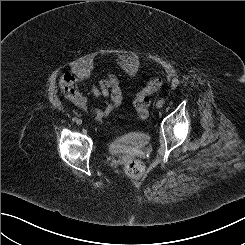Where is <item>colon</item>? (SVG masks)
Segmentation results:
<instances>
[{
	"mask_svg": "<svg viewBox=\"0 0 245 245\" xmlns=\"http://www.w3.org/2000/svg\"><path fill=\"white\" fill-rule=\"evenodd\" d=\"M161 80L159 78H151L146 85L137 93L134 106L142 119H146L149 115L151 104V96L158 92L161 88ZM126 175L131 178H140L144 173V165L139 160H130L124 166Z\"/></svg>",
	"mask_w": 245,
	"mask_h": 245,
	"instance_id": "1",
	"label": "colon"
}]
</instances>
